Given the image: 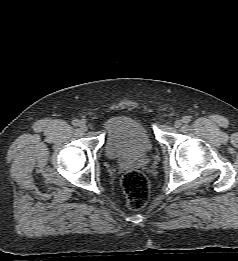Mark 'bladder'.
<instances>
[{"instance_id":"31cf9c89","label":"bladder","mask_w":238,"mask_h":261,"mask_svg":"<svg viewBox=\"0 0 238 261\" xmlns=\"http://www.w3.org/2000/svg\"><path fill=\"white\" fill-rule=\"evenodd\" d=\"M154 140L147 127L126 115L112 117L105 125L104 152L109 159H132L153 150Z\"/></svg>"}]
</instances>
